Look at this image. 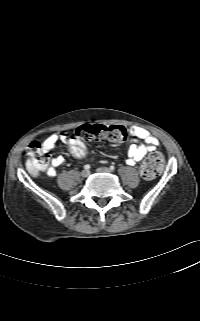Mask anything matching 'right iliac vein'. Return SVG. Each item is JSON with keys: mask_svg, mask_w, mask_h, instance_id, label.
Returning <instances> with one entry per match:
<instances>
[{"mask_svg": "<svg viewBox=\"0 0 200 321\" xmlns=\"http://www.w3.org/2000/svg\"><path fill=\"white\" fill-rule=\"evenodd\" d=\"M90 175V171L89 170H83L82 172H81V176L83 177V178H87L88 176Z\"/></svg>", "mask_w": 200, "mask_h": 321, "instance_id": "63e3f726", "label": "right iliac vein"}]
</instances>
